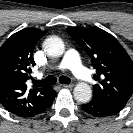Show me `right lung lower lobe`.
I'll return each mask as SVG.
<instances>
[{"instance_id":"obj_1","label":"right lung lower lobe","mask_w":133,"mask_h":133,"mask_svg":"<svg viewBox=\"0 0 133 133\" xmlns=\"http://www.w3.org/2000/svg\"><path fill=\"white\" fill-rule=\"evenodd\" d=\"M55 94H56V93H55ZM54 97H55V96H54ZM53 100H54V98H53ZM53 100H52V102H53ZM52 102L50 103V105H49L48 107L45 108V110L51 106ZM45 110H44V111H45Z\"/></svg>"}]
</instances>
